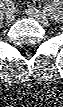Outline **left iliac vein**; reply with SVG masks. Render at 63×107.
I'll return each instance as SVG.
<instances>
[{"instance_id": "obj_1", "label": "left iliac vein", "mask_w": 63, "mask_h": 107, "mask_svg": "<svg viewBox=\"0 0 63 107\" xmlns=\"http://www.w3.org/2000/svg\"><path fill=\"white\" fill-rule=\"evenodd\" d=\"M27 15L35 20H37L40 24L47 26L49 24V20L46 17L45 14H43L42 12H40L37 9L34 8H29L26 11Z\"/></svg>"}]
</instances>
